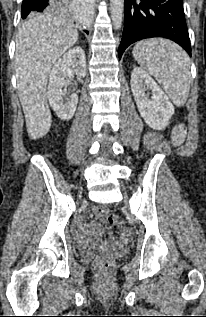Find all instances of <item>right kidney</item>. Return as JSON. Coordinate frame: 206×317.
<instances>
[{
	"label": "right kidney",
	"instance_id": "ca27d5eb",
	"mask_svg": "<svg viewBox=\"0 0 206 317\" xmlns=\"http://www.w3.org/2000/svg\"><path fill=\"white\" fill-rule=\"evenodd\" d=\"M74 73L79 78L86 75L85 52L78 46L71 48L58 59L49 76L47 97L57 116L64 121L73 117L78 104V96L74 93L64 103L62 90L69 83L68 78Z\"/></svg>",
	"mask_w": 206,
	"mask_h": 317
}]
</instances>
